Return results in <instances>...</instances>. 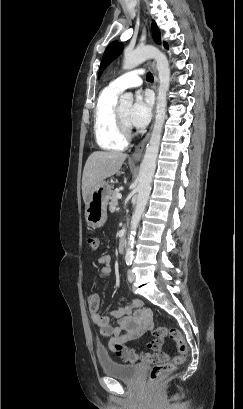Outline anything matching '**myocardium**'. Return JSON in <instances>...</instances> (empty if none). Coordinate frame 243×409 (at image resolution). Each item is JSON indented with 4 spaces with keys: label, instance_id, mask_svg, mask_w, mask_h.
I'll return each instance as SVG.
<instances>
[{
    "label": "myocardium",
    "instance_id": "myocardium-1",
    "mask_svg": "<svg viewBox=\"0 0 243 409\" xmlns=\"http://www.w3.org/2000/svg\"><path fill=\"white\" fill-rule=\"evenodd\" d=\"M115 119H116V124L118 126V129L120 131V133L125 137V138H129L131 136V130L128 124H126L124 122V120L122 119V117L120 116L119 113V107L117 106L115 108Z\"/></svg>",
    "mask_w": 243,
    "mask_h": 409
}]
</instances>
